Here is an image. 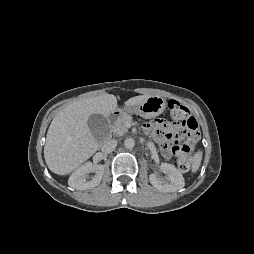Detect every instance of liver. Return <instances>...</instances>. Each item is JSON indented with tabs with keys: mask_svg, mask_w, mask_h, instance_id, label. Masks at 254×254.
<instances>
[{
	"mask_svg": "<svg viewBox=\"0 0 254 254\" xmlns=\"http://www.w3.org/2000/svg\"><path fill=\"white\" fill-rule=\"evenodd\" d=\"M150 95L128 99L125 106L132 107L144 102ZM118 108L112 94L82 99L67 105L52 120L44 146V158L55 174L66 175L77 169L99 148L88 127L92 114L108 116Z\"/></svg>",
	"mask_w": 254,
	"mask_h": 254,
	"instance_id": "liver-1",
	"label": "liver"
}]
</instances>
